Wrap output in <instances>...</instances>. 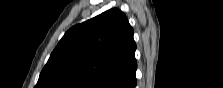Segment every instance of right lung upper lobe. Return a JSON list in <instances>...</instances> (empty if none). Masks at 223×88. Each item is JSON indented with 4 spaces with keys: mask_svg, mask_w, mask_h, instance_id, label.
Segmentation results:
<instances>
[{
    "mask_svg": "<svg viewBox=\"0 0 223 88\" xmlns=\"http://www.w3.org/2000/svg\"><path fill=\"white\" fill-rule=\"evenodd\" d=\"M135 50L125 14L107 10L65 33L35 88H130Z\"/></svg>",
    "mask_w": 223,
    "mask_h": 88,
    "instance_id": "obj_1",
    "label": "right lung upper lobe"
}]
</instances>
